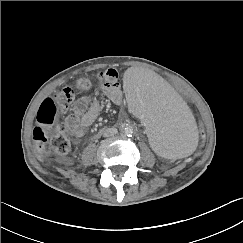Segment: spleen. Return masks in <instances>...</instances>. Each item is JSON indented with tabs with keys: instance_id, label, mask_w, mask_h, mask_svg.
Wrapping results in <instances>:
<instances>
[{
	"instance_id": "3e777b00",
	"label": "spleen",
	"mask_w": 243,
	"mask_h": 243,
	"mask_svg": "<svg viewBox=\"0 0 243 243\" xmlns=\"http://www.w3.org/2000/svg\"><path fill=\"white\" fill-rule=\"evenodd\" d=\"M122 91L157 154L174 160L191 152L197 137L195 120L160 74L145 68L135 70L125 79Z\"/></svg>"
}]
</instances>
